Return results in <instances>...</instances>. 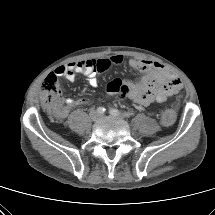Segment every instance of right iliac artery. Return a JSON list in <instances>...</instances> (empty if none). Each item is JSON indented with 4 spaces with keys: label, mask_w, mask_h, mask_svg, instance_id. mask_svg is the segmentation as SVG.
Instances as JSON below:
<instances>
[{
    "label": "right iliac artery",
    "mask_w": 215,
    "mask_h": 215,
    "mask_svg": "<svg viewBox=\"0 0 215 215\" xmlns=\"http://www.w3.org/2000/svg\"><path fill=\"white\" fill-rule=\"evenodd\" d=\"M105 111H106V109H105L104 107H98V108H97V112H98L99 114H104Z\"/></svg>",
    "instance_id": "1"
}]
</instances>
